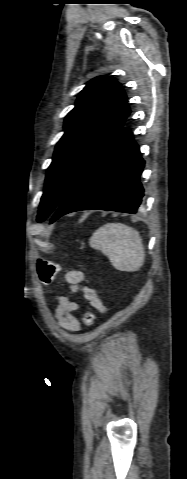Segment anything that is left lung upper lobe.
Returning <instances> with one entry per match:
<instances>
[{
	"mask_svg": "<svg viewBox=\"0 0 187 479\" xmlns=\"http://www.w3.org/2000/svg\"><path fill=\"white\" fill-rule=\"evenodd\" d=\"M130 114L121 85L111 77L91 80L64 121L41 197L37 221L54 213L86 170L121 134Z\"/></svg>",
	"mask_w": 187,
	"mask_h": 479,
	"instance_id": "left-lung-upper-lobe-1",
	"label": "left lung upper lobe"
}]
</instances>
